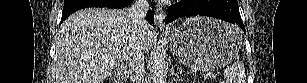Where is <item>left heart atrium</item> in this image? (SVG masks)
Wrapping results in <instances>:
<instances>
[{"label": "left heart atrium", "instance_id": "left-heart-atrium-1", "mask_svg": "<svg viewBox=\"0 0 307 83\" xmlns=\"http://www.w3.org/2000/svg\"><path fill=\"white\" fill-rule=\"evenodd\" d=\"M163 1H165V2H169V0H163Z\"/></svg>", "mask_w": 307, "mask_h": 83}]
</instances>
